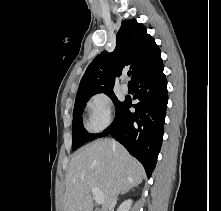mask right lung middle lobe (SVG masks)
<instances>
[{"instance_id":"right-lung-middle-lobe-1","label":"right lung middle lobe","mask_w":221,"mask_h":211,"mask_svg":"<svg viewBox=\"0 0 221 211\" xmlns=\"http://www.w3.org/2000/svg\"><path fill=\"white\" fill-rule=\"evenodd\" d=\"M114 102L116 111L120 108L123 102H120L117 100V97L115 96L113 91L105 92ZM91 95H85L79 98H76L74 111H73V124H72V150H76L80 146H82L84 143L88 142L89 140H92L97 135L89 134L82 123V112L85 107L86 102L88 99L93 96Z\"/></svg>"}]
</instances>
